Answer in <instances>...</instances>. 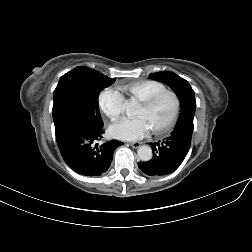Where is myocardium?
<instances>
[{
    "mask_svg": "<svg viewBox=\"0 0 252 252\" xmlns=\"http://www.w3.org/2000/svg\"><path fill=\"white\" fill-rule=\"evenodd\" d=\"M165 94H170V95L173 96L174 101H175V106H174L172 116L169 119V121L167 122V124L161 129L151 131V133L153 135H156V136L165 135V134L169 133L173 129V127H174V125H175V123L177 121V118L179 116V112H180V108H181V100H180L178 94L175 91H173L171 89H164V90H161V91H158V92L154 93L153 95L149 96L148 98L141 101V103H140L144 107H150L161 96H163Z\"/></svg>",
    "mask_w": 252,
    "mask_h": 252,
    "instance_id": "f54148a6",
    "label": "myocardium"
}]
</instances>
